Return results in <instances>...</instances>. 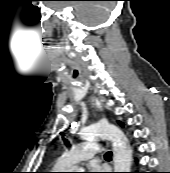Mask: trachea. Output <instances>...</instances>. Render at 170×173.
<instances>
[{
	"mask_svg": "<svg viewBox=\"0 0 170 173\" xmlns=\"http://www.w3.org/2000/svg\"><path fill=\"white\" fill-rule=\"evenodd\" d=\"M112 156V152L111 151H108V152H106V154H105V157H111Z\"/></svg>",
	"mask_w": 170,
	"mask_h": 173,
	"instance_id": "1",
	"label": "trachea"
}]
</instances>
